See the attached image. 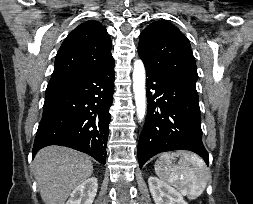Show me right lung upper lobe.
Segmentation results:
<instances>
[{
  "instance_id": "right-lung-upper-lobe-1",
  "label": "right lung upper lobe",
  "mask_w": 253,
  "mask_h": 204,
  "mask_svg": "<svg viewBox=\"0 0 253 204\" xmlns=\"http://www.w3.org/2000/svg\"><path fill=\"white\" fill-rule=\"evenodd\" d=\"M111 45L107 30L98 21L80 24L62 43L49 83L82 75L113 62Z\"/></svg>"
}]
</instances>
